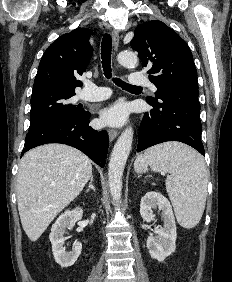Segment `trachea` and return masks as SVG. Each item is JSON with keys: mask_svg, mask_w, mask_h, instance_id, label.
<instances>
[{"mask_svg": "<svg viewBox=\"0 0 232 282\" xmlns=\"http://www.w3.org/2000/svg\"><path fill=\"white\" fill-rule=\"evenodd\" d=\"M112 48V39L108 33H105L102 39L101 44V59H102V67L104 71V75L106 78L112 77V69H111V49ZM114 83L125 90L139 89V86H133L128 83H125L119 78H113Z\"/></svg>", "mask_w": 232, "mask_h": 282, "instance_id": "trachea-1", "label": "trachea"}]
</instances>
